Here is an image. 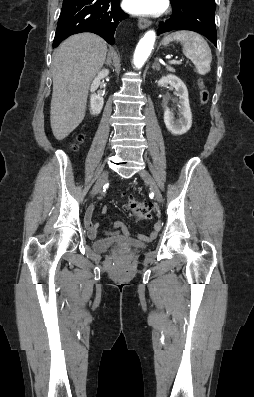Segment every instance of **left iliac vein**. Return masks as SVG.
<instances>
[{
  "mask_svg": "<svg viewBox=\"0 0 254 397\" xmlns=\"http://www.w3.org/2000/svg\"><path fill=\"white\" fill-rule=\"evenodd\" d=\"M139 174H140L141 178L145 181V183L153 191L155 199L159 203H162L163 202V197H162L161 191L158 188V186L156 185V183H155L154 179L152 178V176L149 174V172L146 171V170H142V171H140Z\"/></svg>",
  "mask_w": 254,
  "mask_h": 397,
  "instance_id": "obj_1",
  "label": "left iliac vein"
}]
</instances>
